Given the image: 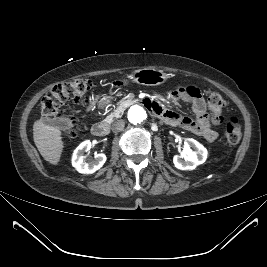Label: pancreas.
<instances>
[{"label":"pancreas","instance_id":"cf45deb5","mask_svg":"<svg viewBox=\"0 0 267 267\" xmlns=\"http://www.w3.org/2000/svg\"><path fill=\"white\" fill-rule=\"evenodd\" d=\"M122 112L117 109V110H114L109 116H107L105 119H104V122L106 123H112L115 119L117 118H120L122 116Z\"/></svg>","mask_w":267,"mask_h":267}]
</instances>
